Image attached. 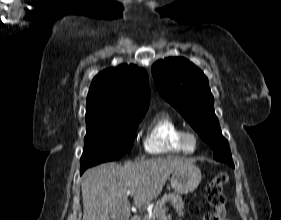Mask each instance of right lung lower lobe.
<instances>
[{
  "label": "right lung lower lobe",
  "mask_w": 281,
  "mask_h": 220,
  "mask_svg": "<svg viewBox=\"0 0 281 220\" xmlns=\"http://www.w3.org/2000/svg\"><path fill=\"white\" fill-rule=\"evenodd\" d=\"M83 172H84V171H81V170H80V174H82Z\"/></svg>",
  "instance_id": "obj_1"
}]
</instances>
